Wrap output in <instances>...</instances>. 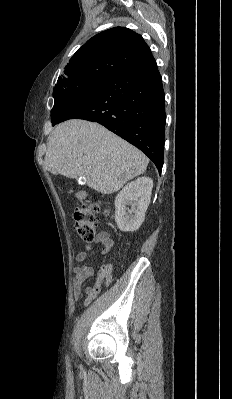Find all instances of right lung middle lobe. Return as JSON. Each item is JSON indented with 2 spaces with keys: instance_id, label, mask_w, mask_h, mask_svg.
I'll list each match as a JSON object with an SVG mask.
<instances>
[{
  "instance_id": "dd1d6c3e",
  "label": "right lung middle lobe",
  "mask_w": 232,
  "mask_h": 399,
  "mask_svg": "<svg viewBox=\"0 0 232 399\" xmlns=\"http://www.w3.org/2000/svg\"><path fill=\"white\" fill-rule=\"evenodd\" d=\"M107 78L85 77L72 81L58 94L53 95L54 106L51 110V121L54 125L59 113L69 102L78 101L106 82Z\"/></svg>"
}]
</instances>
